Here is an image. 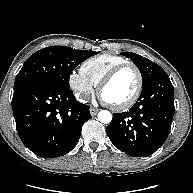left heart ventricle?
I'll return each instance as SVG.
<instances>
[{
	"label": "left heart ventricle",
	"instance_id": "1",
	"mask_svg": "<svg viewBox=\"0 0 193 193\" xmlns=\"http://www.w3.org/2000/svg\"><path fill=\"white\" fill-rule=\"evenodd\" d=\"M137 87V74L132 68L119 72L114 79L103 89L102 97L109 104H122L135 92Z\"/></svg>",
	"mask_w": 193,
	"mask_h": 193
}]
</instances>
